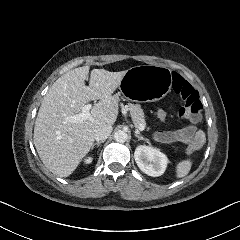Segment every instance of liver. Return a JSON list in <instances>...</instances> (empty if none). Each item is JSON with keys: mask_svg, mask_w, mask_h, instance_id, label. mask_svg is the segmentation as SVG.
<instances>
[{"mask_svg": "<svg viewBox=\"0 0 240 240\" xmlns=\"http://www.w3.org/2000/svg\"><path fill=\"white\" fill-rule=\"evenodd\" d=\"M89 66L71 70L59 77L44 96L34 127V145L46 168L59 177H68L90 151L95 130L113 125L118 115L119 97L112 95L126 71L93 69L85 85ZM99 100L91 118L67 122L89 101Z\"/></svg>", "mask_w": 240, "mask_h": 240, "instance_id": "1", "label": "liver"}]
</instances>
